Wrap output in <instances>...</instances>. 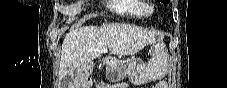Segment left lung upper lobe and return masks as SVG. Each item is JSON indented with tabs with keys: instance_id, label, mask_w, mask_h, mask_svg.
Masks as SVG:
<instances>
[{
	"instance_id": "left-lung-upper-lobe-1",
	"label": "left lung upper lobe",
	"mask_w": 227,
	"mask_h": 88,
	"mask_svg": "<svg viewBox=\"0 0 227 88\" xmlns=\"http://www.w3.org/2000/svg\"><path fill=\"white\" fill-rule=\"evenodd\" d=\"M159 2L161 1V2H163V3H168L170 0H158Z\"/></svg>"
}]
</instances>
